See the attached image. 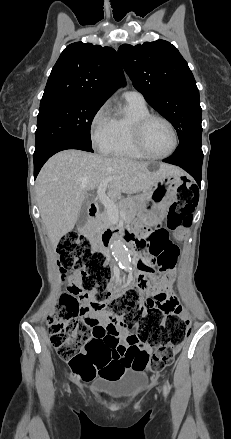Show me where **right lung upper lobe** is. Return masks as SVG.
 Returning <instances> with one entry per match:
<instances>
[{"instance_id":"cb5924a9","label":"right lung upper lobe","mask_w":231,"mask_h":439,"mask_svg":"<svg viewBox=\"0 0 231 439\" xmlns=\"http://www.w3.org/2000/svg\"><path fill=\"white\" fill-rule=\"evenodd\" d=\"M121 78L122 68L114 49L75 42L63 50L54 65L41 102L80 98L104 103L124 84Z\"/></svg>"}]
</instances>
